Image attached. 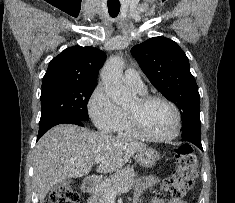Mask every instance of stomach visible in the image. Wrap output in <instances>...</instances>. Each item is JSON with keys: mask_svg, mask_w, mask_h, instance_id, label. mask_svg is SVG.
Returning <instances> with one entry per match:
<instances>
[{"mask_svg": "<svg viewBox=\"0 0 235 203\" xmlns=\"http://www.w3.org/2000/svg\"><path fill=\"white\" fill-rule=\"evenodd\" d=\"M159 158V153L153 148L145 147L136 153V160L143 167H152Z\"/></svg>", "mask_w": 235, "mask_h": 203, "instance_id": "0dacf381", "label": "stomach"}]
</instances>
